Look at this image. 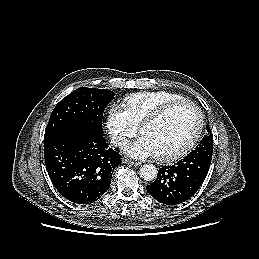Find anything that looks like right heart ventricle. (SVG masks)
Instances as JSON below:
<instances>
[{"label": "right heart ventricle", "mask_w": 259, "mask_h": 259, "mask_svg": "<svg viewBox=\"0 0 259 259\" xmlns=\"http://www.w3.org/2000/svg\"><path fill=\"white\" fill-rule=\"evenodd\" d=\"M185 99L183 96L167 91H148L128 95L124 104L133 123L137 126L144 119L162 106L177 100Z\"/></svg>", "instance_id": "1"}]
</instances>
